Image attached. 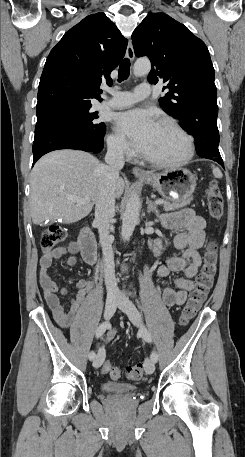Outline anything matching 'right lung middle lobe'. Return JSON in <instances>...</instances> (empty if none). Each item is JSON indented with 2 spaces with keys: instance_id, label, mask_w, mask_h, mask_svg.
<instances>
[{
  "instance_id": "obj_1",
  "label": "right lung middle lobe",
  "mask_w": 245,
  "mask_h": 457,
  "mask_svg": "<svg viewBox=\"0 0 245 457\" xmlns=\"http://www.w3.org/2000/svg\"><path fill=\"white\" fill-rule=\"evenodd\" d=\"M91 101H63L54 108L37 112L35 133L51 128L81 130L96 141H103L105 124L98 123L97 112H92Z\"/></svg>"
}]
</instances>
